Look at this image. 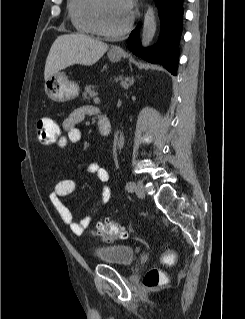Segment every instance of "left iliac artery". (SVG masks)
<instances>
[{
    "label": "left iliac artery",
    "mask_w": 245,
    "mask_h": 319,
    "mask_svg": "<svg viewBox=\"0 0 245 319\" xmlns=\"http://www.w3.org/2000/svg\"><path fill=\"white\" fill-rule=\"evenodd\" d=\"M134 183L133 182H127L126 183V190L128 191V192H133V190H134Z\"/></svg>",
    "instance_id": "1"
}]
</instances>
